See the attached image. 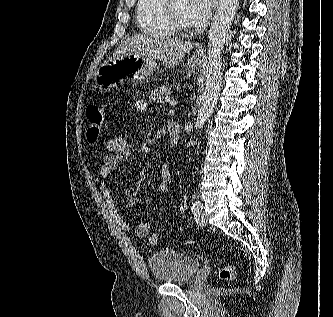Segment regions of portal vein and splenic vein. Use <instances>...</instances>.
I'll return each mask as SVG.
<instances>
[{
    "label": "portal vein and splenic vein",
    "instance_id": "obj_1",
    "mask_svg": "<svg viewBox=\"0 0 333 317\" xmlns=\"http://www.w3.org/2000/svg\"><path fill=\"white\" fill-rule=\"evenodd\" d=\"M165 101L168 102L171 106H175L178 104L177 100H172L171 98L167 97L165 98Z\"/></svg>",
    "mask_w": 333,
    "mask_h": 317
}]
</instances>
